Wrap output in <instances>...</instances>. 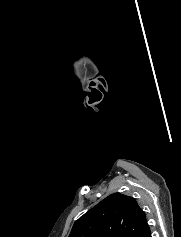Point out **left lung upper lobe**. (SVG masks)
<instances>
[{
    "label": "left lung upper lobe",
    "instance_id": "left-lung-upper-lobe-1",
    "mask_svg": "<svg viewBox=\"0 0 181 237\" xmlns=\"http://www.w3.org/2000/svg\"><path fill=\"white\" fill-rule=\"evenodd\" d=\"M147 227L136 200L113 193L76 220L69 237H140Z\"/></svg>",
    "mask_w": 181,
    "mask_h": 237
}]
</instances>
